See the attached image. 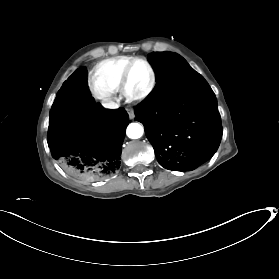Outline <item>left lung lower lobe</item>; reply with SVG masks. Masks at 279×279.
Segmentation results:
<instances>
[{
  "mask_svg": "<svg viewBox=\"0 0 279 279\" xmlns=\"http://www.w3.org/2000/svg\"><path fill=\"white\" fill-rule=\"evenodd\" d=\"M146 128L159 164L173 171H191L217 151L221 118L216 98L201 75L190 79L170 97L134 109Z\"/></svg>",
  "mask_w": 279,
  "mask_h": 279,
  "instance_id": "left-lung-lower-lobe-1",
  "label": "left lung lower lobe"
}]
</instances>
